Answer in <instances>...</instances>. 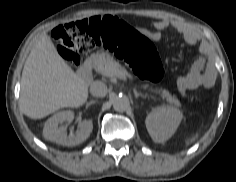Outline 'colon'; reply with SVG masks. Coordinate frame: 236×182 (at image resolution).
<instances>
[{
	"label": "colon",
	"mask_w": 236,
	"mask_h": 182,
	"mask_svg": "<svg viewBox=\"0 0 236 182\" xmlns=\"http://www.w3.org/2000/svg\"><path fill=\"white\" fill-rule=\"evenodd\" d=\"M52 37L64 60L79 65L80 54L91 48L113 51L142 79L158 81L163 67L152 41L142 32L114 16L71 22L54 28Z\"/></svg>",
	"instance_id": "5ec220e1"
}]
</instances>
